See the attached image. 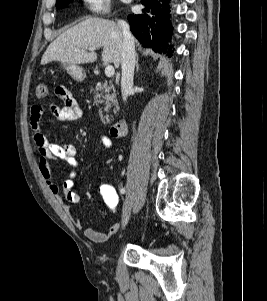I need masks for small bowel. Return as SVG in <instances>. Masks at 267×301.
Wrapping results in <instances>:
<instances>
[{"instance_id":"small-bowel-1","label":"small bowel","mask_w":267,"mask_h":301,"mask_svg":"<svg viewBox=\"0 0 267 301\" xmlns=\"http://www.w3.org/2000/svg\"><path fill=\"white\" fill-rule=\"evenodd\" d=\"M54 93L62 102L61 106H50V112L54 117H56L59 121H75L82 116V110L72 92L68 88L59 85L55 88ZM43 115V106L36 104L31 107L29 123L33 131V141L39 154L38 168L41 176L53 195L60 198V192L62 191V207L65 212L69 213L71 204H76L80 200V195L74 188L77 172L75 170H71L68 173L67 178L63 181L62 185L59 186L54 181L51 174V161L61 160L64 161L68 166L75 168L77 166L75 159L76 148L71 143L57 144L48 140V138L41 131V121ZM101 141L105 148L109 149L113 145L112 139L106 135L101 137ZM74 225L78 229L83 230L84 236L88 240L95 243L106 242L117 232L119 228V224L115 223L107 231H96L89 226H84L80 219H75Z\"/></svg>"}]
</instances>
